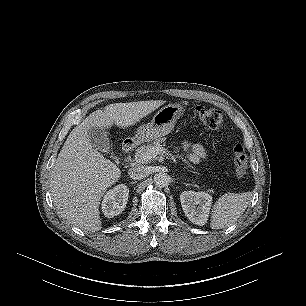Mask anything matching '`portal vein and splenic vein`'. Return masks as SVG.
Instances as JSON below:
<instances>
[{"label": "portal vein and splenic vein", "instance_id": "1", "mask_svg": "<svg viewBox=\"0 0 306 306\" xmlns=\"http://www.w3.org/2000/svg\"><path fill=\"white\" fill-rule=\"evenodd\" d=\"M158 154H168L171 156V154L169 153V151L165 148L162 147H157V148H152L150 150H148L147 152L143 153L140 155V158L138 159L139 161H150L151 159H153L154 157H156Z\"/></svg>", "mask_w": 306, "mask_h": 306}]
</instances>
